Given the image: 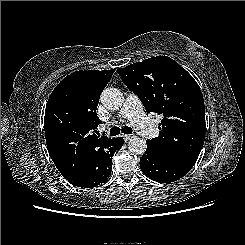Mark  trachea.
Listing matches in <instances>:
<instances>
[{
    "label": "trachea",
    "instance_id": "obj_1",
    "mask_svg": "<svg viewBox=\"0 0 245 245\" xmlns=\"http://www.w3.org/2000/svg\"><path fill=\"white\" fill-rule=\"evenodd\" d=\"M120 132H122L124 134H132V128L125 126L122 129H120L117 126H114L110 130V136H116V135L120 134Z\"/></svg>",
    "mask_w": 245,
    "mask_h": 245
}]
</instances>
